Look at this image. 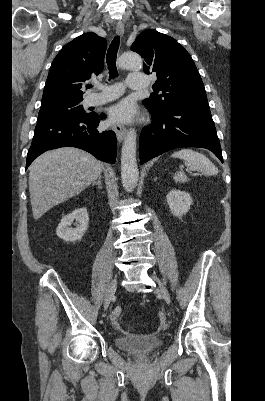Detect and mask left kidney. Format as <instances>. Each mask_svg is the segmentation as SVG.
Segmentation results:
<instances>
[{"label": "left kidney", "mask_w": 265, "mask_h": 401, "mask_svg": "<svg viewBox=\"0 0 265 401\" xmlns=\"http://www.w3.org/2000/svg\"><path fill=\"white\" fill-rule=\"evenodd\" d=\"M167 203L174 217H182V215L188 213L193 201L189 192L172 188L167 194Z\"/></svg>", "instance_id": "obj_1"}]
</instances>
